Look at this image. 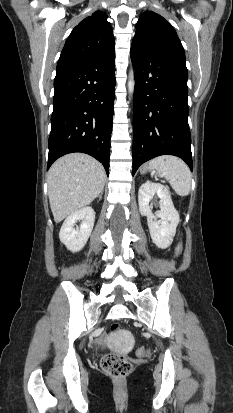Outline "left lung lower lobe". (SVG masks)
<instances>
[{"label": "left lung lower lobe", "mask_w": 233, "mask_h": 413, "mask_svg": "<svg viewBox=\"0 0 233 413\" xmlns=\"http://www.w3.org/2000/svg\"><path fill=\"white\" fill-rule=\"evenodd\" d=\"M136 67L133 175L144 162L178 156L193 170L188 125L186 64L160 52L131 46Z\"/></svg>", "instance_id": "obj_1"}]
</instances>
